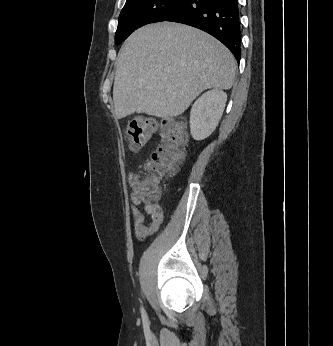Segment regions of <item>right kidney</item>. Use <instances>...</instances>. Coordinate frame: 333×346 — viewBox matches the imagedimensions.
Here are the masks:
<instances>
[{"label": "right kidney", "instance_id": "1", "mask_svg": "<svg viewBox=\"0 0 333 346\" xmlns=\"http://www.w3.org/2000/svg\"><path fill=\"white\" fill-rule=\"evenodd\" d=\"M227 94L213 89L201 95L192 105L190 131L195 140L207 138L215 130L223 114Z\"/></svg>", "mask_w": 333, "mask_h": 346}]
</instances>
